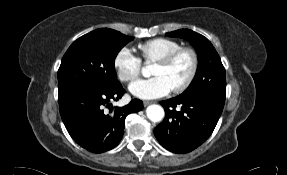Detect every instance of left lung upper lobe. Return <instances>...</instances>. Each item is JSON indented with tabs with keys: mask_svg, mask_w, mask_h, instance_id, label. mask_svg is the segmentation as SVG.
I'll use <instances>...</instances> for the list:
<instances>
[{
	"mask_svg": "<svg viewBox=\"0 0 287 175\" xmlns=\"http://www.w3.org/2000/svg\"><path fill=\"white\" fill-rule=\"evenodd\" d=\"M166 35L184 38L196 48L198 53L199 63L196 75L181 95H205L225 101V68L211 42L203 35L188 29L177 30Z\"/></svg>",
	"mask_w": 287,
	"mask_h": 175,
	"instance_id": "obj_1",
	"label": "left lung upper lobe"
}]
</instances>
